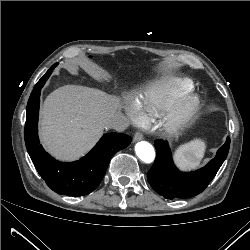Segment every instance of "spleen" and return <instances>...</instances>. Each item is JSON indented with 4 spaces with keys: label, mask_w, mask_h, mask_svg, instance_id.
I'll return each mask as SVG.
<instances>
[{
    "label": "spleen",
    "mask_w": 250,
    "mask_h": 250,
    "mask_svg": "<svg viewBox=\"0 0 250 250\" xmlns=\"http://www.w3.org/2000/svg\"><path fill=\"white\" fill-rule=\"evenodd\" d=\"M205 143L200 140H194L180 146L174 153V158L181 168L193 169L197 167L203 158Z\"/></svg>",
    "instance_id": "3e777b00"
}]
</instances>
